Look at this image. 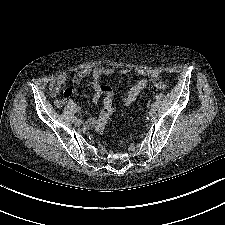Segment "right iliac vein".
Segmentation results:
<instances>
[{
    "instance_id": "63e3f726",
    "label": "right iliac vein",
    "mask_w": 225,
    "mask_h": 225,
    "mask_svg": "<svg viewBox=\"0 0 225 225\" xmlns=\"http://www.w3.org/2000/svg\"><path fill=\"white\" fill-rule=\"evenodd\" d=\"M74 123L75 125L80 126L82 124V121L80 119H76Z\"/></svg>"
}]
</instances>
